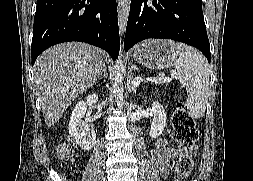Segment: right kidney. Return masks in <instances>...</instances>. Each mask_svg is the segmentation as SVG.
<instances>
[{"label": "right kidney", "mask_w": 253, "mask_h": 181, "mask_svg": "<svg viewBox=\"0 0 253 181\" xmlns=\"http://www.w3.org/2000/svg\"><path fill=\"white\" fill-rule=\"evenodd\" d=\"M86 102L79 101L74 107L70 121H69V134L74 138V142L83 150H90L96 144V133L90 129L87 122L83 120L87 111V105H95L98 102L96 94L88 95Z\"/></svg>", "instance_id": "right-kidney-1"}]
</instances>
